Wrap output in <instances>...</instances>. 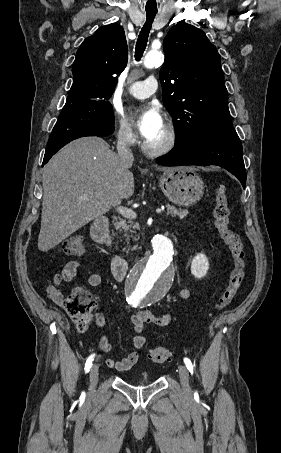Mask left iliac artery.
<instances>
[{
	"mask_svg": "<svg viewBox=\"0 0 281 453\" xmlns=\"http://www.w3.org/2000/svg\"><path fill=\"white\" fill-rule=\"evenodd\" d=\"M184 363L186 364L187 369L193 374V365L188 358H184Z\"/></svg>",
	"mask_w": 281,
	"mask_h": 453,
	"instance_id": "1",
	"label": "left iliac artery"
}]
</instances>
